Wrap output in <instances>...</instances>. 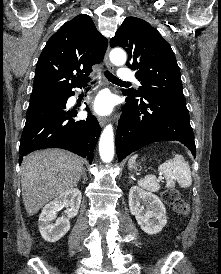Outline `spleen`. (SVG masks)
<instances>
[{
  "label": "spleen",
  "mask_w": 221,
  "mask_h": 274,
  "mask_svg": "<svg viewBox=\"0 0 221 274\" xmlns=\"http://www.w3.org/2000/svg\"><path fill=\"white\" fill-rule=\"evenodd\" d=\"M138 155H134L129 159L128 167L131 169ZM160 174L166 178V187H174L175 181L182 188L190 187L192 184L191 170L188 162L179 154H174V158L167 160L158 167ZM138 185L143 189L151 192H157L160 189L159 181L153 175H147L143 179L138 180Z\"/></svg>",
  "instance_id": "obj_1"
}]
</instances>
